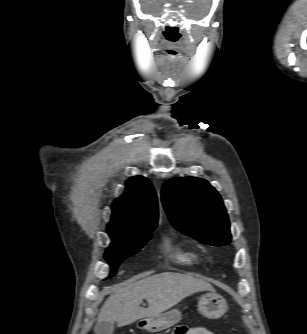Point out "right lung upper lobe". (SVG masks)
Returning a JSON list of instances; mask_svg holds the SVG:
<instances>
[{
  "mask_svg": "<svg viewBox=\"0 0 307 334\" xmlns=\"http://www.w3.org/2000/svg\"><path fill=\"white\" fill-rule=\"evenodd\" d=\"M158 203L151 182L142 176L127 180L125 193L112 203L110 236L132 234L156 228Z\"/></svg>",
  "mask_w": 307,
  "mask_h": 334,
  "instance_id": "right-lung-upper-lobe-1",
  "label": "right lung upper lobe"
}]
</instances>
